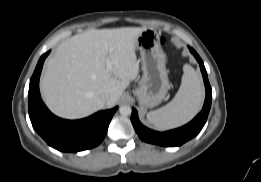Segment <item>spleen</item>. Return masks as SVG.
Masks as SVG:
<instances>
[{
	"label": "spleen",
	"instance_id": "3e777b00",
	"mask_svg": "<svg viewBox=\"0 0 261 182\" xmlns=\"http://www.w3.org/2000/svg\"><path fill=\"white\" fill-rule=\"evenodd\" d=\"M180 88L175 97L164 107L147 113V120L157 129L169 130L179 127L201 109L204 90L198 73L188 64L183 67Z\"/></svg>",
	"mask_w": 261,
	"mask_h": 182
}]
</instances>
